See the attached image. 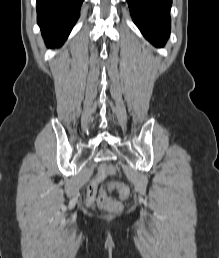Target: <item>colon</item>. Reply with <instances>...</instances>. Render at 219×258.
Wrapping results in <instances>:
<instances>
[{
    "instance_id": "obj_1",
    "label": "colon",
    "mask_w": 219,
    "mask_h": 258,
    "mask_svg": "<svg viewBox=\"0 0 219 258\" xmlns=\"http://www.w3.org/2000/svg\"><path fill=\"white\" fill-rule=\"evenodd\" d=\"M117 168L112 164H103L99 171L90 183L87 192V203L89 205H96L97 207L106 208L110 211H118L121 204L114 198L107 196L105 192L100 189L101 182L107 177L115 175ZM121 199H127L130 196V189L123 183H115Z\"/></svg>"
}]
</instances>
